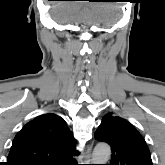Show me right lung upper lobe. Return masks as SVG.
I'll list each match as a JSON object with an SVG mask.
<instances>
[{
  "label": "right lung upper lobe",
  "mask_w": 165,
  "mask_h": 165,
  "mask_svg": "<svg viewBox=\"0 0 165 165\" xmlns=\"http://www.w3.org/2000/svg\"><path fill=\"white\" fill-rule=\"evenodd\" d=\"M75 144L63 118L44 114L15 136L6 165H56L66 156L79 154Z\"/></svg>",
  "instance_id": "1"
}]
</instances>
